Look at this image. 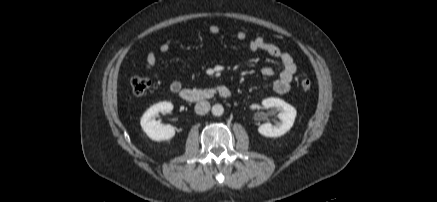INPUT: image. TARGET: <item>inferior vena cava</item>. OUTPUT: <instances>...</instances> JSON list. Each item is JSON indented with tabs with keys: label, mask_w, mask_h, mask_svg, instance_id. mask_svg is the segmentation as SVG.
<instances>
[{
	"label": "inferior vena cava",
	"mask_w": 437,
	"mask_h": 202,
	"mask_svg": "<svg viewBox=\"0 0 437 202\" xmlns=\"http://www.w3.org/2000/svg\"><path fill=\"white\" fill-rule=\"evenodd\" d=\"M210 110V103L208 101H200L195 105V112L198 115H204Z\"/></svg>",
	"instance_id": "602c4592"
}]
</instances>
